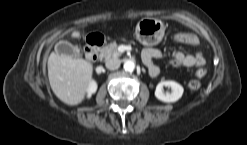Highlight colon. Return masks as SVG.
Listing matches in <instances>:
<instances>
[{"mask_svg": "<svg viewBox=\"0 0 247 145\" xmlns=\"http://www.w3.org/2000/svg\"><path fill=\"white\" fill-rule=\"evenodd\" d=\"M183 36L181 33H177L174 35V39L175 40H179L181 39ZM206 74V68L205 67H202L201 69H199L197 72H196V77L197 79H194V80H191L189 83H188V88L190 90H197L201 87V78Z\"/></svg>", "mask_w": 247, "mask_h": 145, "instance_id": "obj_1", "label": "colon"}]
</instances>
